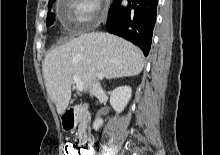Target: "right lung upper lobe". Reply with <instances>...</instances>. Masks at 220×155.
Here are the masks:
<instances>
[{
    "label": "right lung upper lobe",
    "instance_id": "obj_1",
    "mask_svg": "<svg viewBox=\"0 0 220 155\" xmlns=\"http://www.w3.org/2000/svg\"><path fill=\"white\" fill-rule=\"evenodd\" d=\"M54 0H49V3L53 2Z\"/></svg>",
    "mask_w": 220,
    "mask_h": 155
}]
</instances>
